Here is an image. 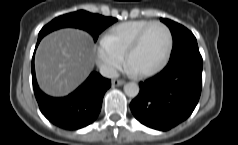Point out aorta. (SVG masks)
Returning <instances> with one entry per match:
<instances>
[{"label": "aorta", "instance_id": "762f6f07", "mask_svg": "<svg viewBox=\"0 0 238 145\" xmlns=\"http://www.w3.org/2000/svg\"><path fill=\"white\" fill-rule=\"evenodd\" d=\"M139 90V85L135 82H129L124 85V92L128 97H136L139 94Z\"/></svg>", "mask_w": 238, "mask_h": 145}]
</instances>
